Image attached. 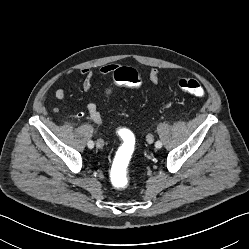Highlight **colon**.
I'll return each mask as SVG.
<instances>
[{
    "mask_svg": "<svg viewBox=\"0 0 249 249\" xmlns=\"http://www.w3.org/2000/svg\"><path fill=\"white\" fill-rule=\"evenodd\" d=\"M113 80L117 85H125L130 88L140 87L142 80L136 70L127 67L116 69L113 74ZM178 87L189 94L197 97L204 96L202 84L194 79L182 78L178 81ZM121 139V146L117 151L112 173V185L116 189H122L127 184L128 170L131 158L135 151V136L127 127H121L118 130Z\"/></svg>",
    "mask_w": 249,
    "mask_h": 249,
    "instance_id": "colon-1",
    "label": "colon"
}]
</instances>
